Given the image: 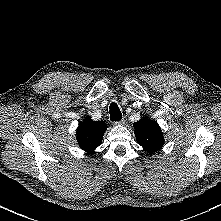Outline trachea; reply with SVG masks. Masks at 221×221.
I'll list each match as a JSON object with an SVG mask.
<instances>
[{
  "instance_id": "3493384b",
  "label": "trachea",
  "mask_w": 221,
  "mask_h": 221,
  "mask_svg": "<svg viewBox=\"0 0 221 221\" xmlns=\"http://www.w3.org/2000/svg\"><path fill=\"white\" fill-rule=\"evenodd\" d=\"M110 119L113 121H118L122 119V113L117 105V103L113 102L110 105Z\"/></svg>"
}]
</instances>
